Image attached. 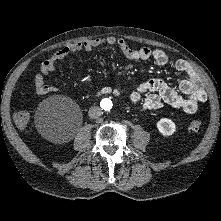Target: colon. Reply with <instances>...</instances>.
Returning <instances> with one entry per match:
<instances>
[{
	"mask_svg": "<svg viewBox=\"0 0 221 221\" xmlns=\"http://www.w3.org/2000/svg\"><path fill=\"white\" fill-rule=\"evenodd\" d=\"M29 113L27 111H18L14 115V120L16 125L20 129H25L29 123ZM203 124L200 120H193L189 124V129L192 132H200L202 130Z\"/></svg>",
	"mask_w": 221,
	"mask_h": 221,
	"instance_id": "colon-1",
	"label": "colon"
}]
</instances>
